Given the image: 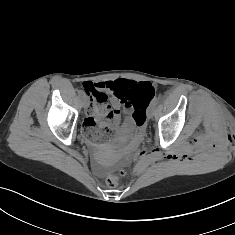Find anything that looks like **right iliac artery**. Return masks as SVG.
Returning <instances> with one entry per match:
<instances>
[{"label":"right iliac artery","mask_w":235,"mask_h":235,"mask_svg":"<svg viewBox=\"0 0 235 235\" xmlns=\"http://www.w3.org/2000/svg\"><path fill=\"white\" fill-rule=\"evenodd\" d=\"M78 94L80 95V96H82V97H84V93H83V91H78Z\"/></svg>","instance_id":"1"}]
</instances>
